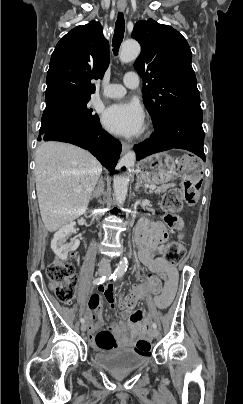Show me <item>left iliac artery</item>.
<instances>
[{
	"mask_svg": "<svg viewBox=\"0 0 243 404\" xmlns=\"http://www.w3.org/2000/svg\"><path fill=\"white\" fill-rule=\"evenodd\" d=\"M122 276H123V273L118 272L117 275H116V277H115L113 280H114V281H115V280H119V279H121ZM152 327H153L154 329H157V324H156V323H153V324H152Z\"/></svg>",
	"mask_w": 243,
	"mask_h": 404,
	"instance_id": "44dca946",
	"label": "left iliac artery"
}]
</instances>
